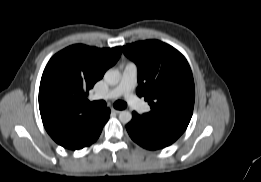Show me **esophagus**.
Instances as JSON below:
<instances>
[{
	"mask_svg": "<svg viewBox=\"0 0 261 182\" xmlns=\"http://www.w3.org/2000/svg\"><path fill=\"white\" fill-rule=\"evenodd\" d=\"M111 112H112V113H115V114H119V113L121 112V110L112 108V109H111Z\"/></svg>",
	"mask_w": 261,
	"mask_h": 182,
	"instance_id": "obj_1",
	"label": "esophagus"
}]
</instances>
